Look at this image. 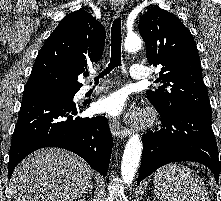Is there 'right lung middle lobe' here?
I'll return each instance as SVG.
<instances>
[{
  "instance_id": "dd1d6c3e",
  "label": "right lung middle lobe",
  "mask_w": 221,
  "mask_h": 201,
  "mask_svg": "<svg viewBox=\"0 0 221 201\" xmlns=\"http://www.w3.org/2000/svg\"><path fill=\"white\" fill-rule=\"evenodd\" d=\"M78 90L67 89H52V88H29L24 89V96L26 95H42L51 97H74Z\"/></svg>"
}]
</instances>
